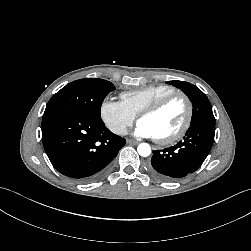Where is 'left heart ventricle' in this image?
<instances>
[{"mask_svg":"<svg viewBox=\"0 0 251 251\" xmlns=\"http://www.w3.org/2000/svg\"><path fill=\"white\" fill-rule=\"evenodd\" d=\"M186 112L187 107L184 100L176 98L160 112L143 117L139 122L148 125L156 138H163L172 135L182 126Z\"/></svg>","mask_w":251,"mask_h":251,"instance_id":"left-heart-ventricle-1","label":"left heart ventricle"}]
</instances>
